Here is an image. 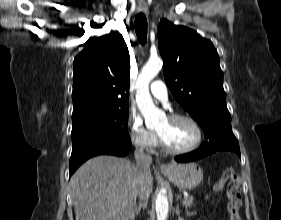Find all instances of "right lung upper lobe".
<instances>
[{
	"label": "right lung upper lobe",
	"instance_id": "obj_1",
	"mask_svg": "<svg viewBox=\"0 0 281 220\" xmlns=\"http://www.w3.org/2000/svg\"><path fill=\"white\" fill-rule=\"evenodd\" d=\"M73 66L72 118L128 108L130 57L119 32L87 42Z\"/></svg>",
	"mask_w": 281,
	"mask_h": 220
}]
</instances>
